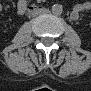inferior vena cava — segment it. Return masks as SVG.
<instances>
[{"label":"inferior vena cava","instance_id":"inferior-vena-cava-1","mask_svg":"<svg viewBox=\"0 0 91 91\" xmlns=\"http://www.w3.org/2000/svg\"><path fill=\"white\" fill-rule=\"evenodd\" d=\"M47 13V8L33 9V15Z\"/></svg>","mask_w":91,"mask_h":91}]
</instances>
